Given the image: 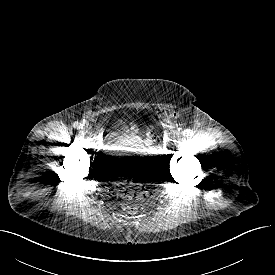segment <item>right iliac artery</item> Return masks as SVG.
Wrapping results in <instances>:
<instances>
[{
	"instance_id": "obj_1",
	"label": "right iliac artery",
	"mask_w": 275,
	"mask_h": 275,
	"mask_svg": "<svg viewBox=\"0 0 275 275\" xmlns=\"http://www.w3.org/2000/svg\"><path fill=\"white\" fill-rule=\"evenodd\" d=\"M82 124L81 123H79V122H75L74 123V128H77V129H80V128H82Z\"/></svg>"
}]
</instances>
